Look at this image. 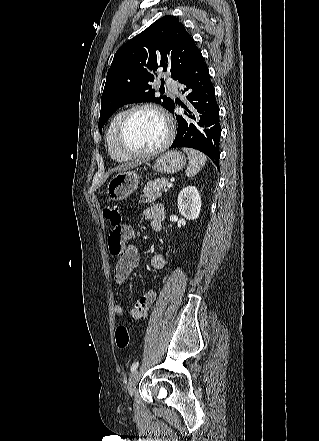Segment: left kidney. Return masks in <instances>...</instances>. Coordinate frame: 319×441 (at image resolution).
Masks as SVG:
<instances>
[{
  "label": "left kidney",
  "instance_id": "5707ae66",
  "mask_svg": "<svg viewBox=\"0 0 319 441\" xmlns=\"http://www.w3.org/2000/svg\"><path fill=\"white\" fill-rule=\"evenodd\" d=\"M178 209L188 220H195L201 211V197L195 186L184 188L178 196Z\"/></svg>",
  "mask_w": 319,
  "mask_h": 441
}]
</instances>
